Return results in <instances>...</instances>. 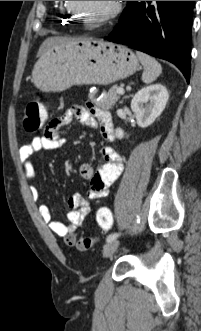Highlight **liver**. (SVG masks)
Masks as SVG:
<instances>
[{
  "label": "liver",
  "instance_id": "obj_1",
  "mask_svg": "<svg viewBox=\"0 0 201 331\" xmlns=\"http://www.w3.org/2000/svg\"><path fill=\"white\" fill-rule=\"evenodd\" d=\"M78 39H80V38H78ZM69 40H76V39L65 38V37H49L41 44L37 55L41 56L46 50H48L52 46H54L58 43L69 41Z\"/></svg>",
  "mask_w": 201,
  "mask_h": 331
}]
</instances>
